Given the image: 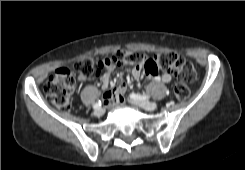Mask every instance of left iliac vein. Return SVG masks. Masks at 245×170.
Listing matches in <instances>:
<instances>
[{
	"label": "left iliac vein",
	"mask_w": 245,
	"mask_h": 170,
	"mask_svg": "<svg viewBox=\"0 0 245 170\" xmlns=\"http://www.w3.org/2000/svg\"><path fill=\"white\" fill-rule=\"evenodd\" d=\"M134 103H136L139 106L143 107L144 109L148 110V107L144 103H140V102H134Z\"/></svg>",
	"instance_id": "4c4485c4"
}]
</instances>
